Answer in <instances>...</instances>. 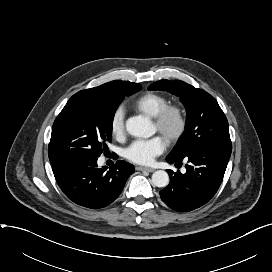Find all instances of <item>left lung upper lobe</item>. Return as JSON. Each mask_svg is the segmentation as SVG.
Returning a JSON list of instances; mask_svg holds the SVG:
<instances>
[{"label": "left lung upper lobe", "mask_w": 272, "mask_h": 272, "mask_svg": "<svg viewBox=\"0 0 272 272\" xmlns=\"http://www.w3.org/2000/svg\"><path fill=\"white\" fill-rule=\"evenodd\" d=\"M148 89L179 96L187 111L185 131L169 157L180 159L203 147L231 145L226 116L209 93L180 80H160Z\"/></svg>", "instance_id": "5c2ea615"}]
</instances>
